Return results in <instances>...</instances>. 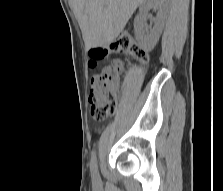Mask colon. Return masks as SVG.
Returning <instances> with one entry per match:
<instances>
[{"mask_svg":"<svg viewBox=\"0 0 223 191\" xmlns=\"http://www.w3.org/2000/svg\"><path fill=\"white\" fill-rule=\"evenodd\" d=\"M109 52H128L141 61L145 59V56L133 43L132 38L128 34H122L108 46L93 49L91 65L95 66L96 60L103 58ZM122 70V63L119 60H114L91 78L89 102L92 117L96 121L106 120L115 111V86Z\"/></svg>","mask_w":223,"mask_h":191,"instance_id":"1","label":"colon"}]
</instances>
